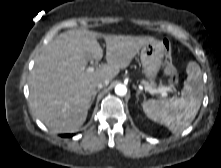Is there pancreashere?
<instances>
[{"label":"pancreas","mask_w":221,"mask_h":168,"mask_svg":"<svg viewBox=\"0 0 221 168\" xmlns=\"http://www.w3.org/2000/svg\"><path fill=\"white\" fill-rule=\"evenodd\" d=\"M142 83L146 86H149L151 88H155V84L154 83H148L147 81H142ZM162 88H167L166 86H160L159 89H162Z\"/></svg>","instance_id":"obj_1"}]
</instances>
